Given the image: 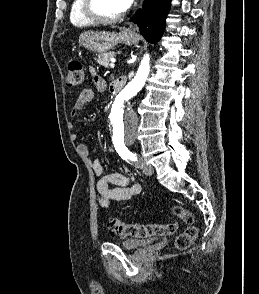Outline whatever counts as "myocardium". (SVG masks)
<instances>
[{"mask_svg":"<svg viewBox=\"0 0 259 294\" xmlns=\"http://www.w3.org/2000/svg\"><path fill=\"white\" fill-rule=\"evenodd\" d=\"M83 15L94 24H112L120 21L125 16V11L117 16L105 17L95 10V0H82Z\"/></svg>","mask_w":259,"mask_h":294,"instance_id":"myocardium-1","label":"myocardium"}]
</instances>
